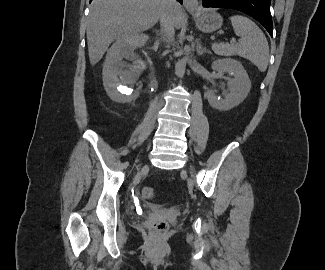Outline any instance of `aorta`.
Instances as JSON below:
<instances>
[{"label": "aorta", "mask_w": 325, "mask_h": 270, "mask_svg": "<svg viewBox=\"0 0 325 270\" xmlns=\"http://www.w3.org/2000/svg\"><path fill=\"white\" fill-rule=\"evenodd\" d=\"M187 60H188L187 57H184L180 61L177 62L176 66H175V73L178 77L184 76Z\"/></svg>", "instance_id": "1"}]
</instances>
